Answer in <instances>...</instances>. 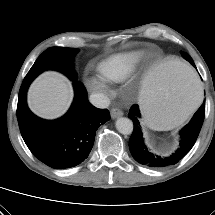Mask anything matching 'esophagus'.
<instances>
[{"label":"esophagus","mask_w":215,"mask_h":215,"mask_svg":"<svg viewBox=\"0 0 215 215\" xmlns=\"http://www.w3.org/2000/svg\"><path fill=\"white\" fill-rule=\"evenodd\" d=\"M110 114H111V117L113 119L117 118V117H120L123 115V112L120 110V109H117V108H112L111 111H110Z\"/></svg>","instance_id":"obj_1"}]
</instances>
